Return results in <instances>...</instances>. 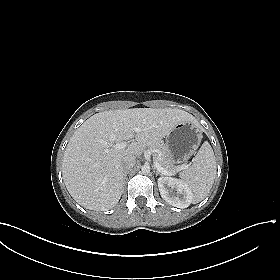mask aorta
Instances as JSON below:
<instances>
[{
    "label": "aorta",
    "mask_w": 280,
    "mask_h": 280,
    "mask_svg": "<svg viewBox=\"0 0 280 280\" xmlns=\"http://www.w3.org/2000/svg\"><path fill=\"white\" fill-rule=\"evenodd\" d=\"M141 171L143 173H149L150 172V166L147 165V164L143 165L142 168H141Z\"/></svg>",
    "instance_id": "762f6f07"
}]
</instances>
